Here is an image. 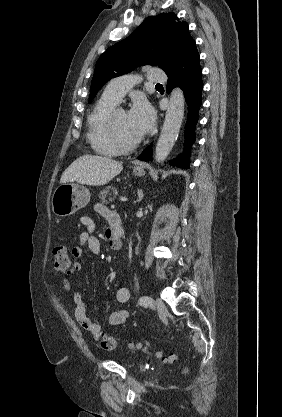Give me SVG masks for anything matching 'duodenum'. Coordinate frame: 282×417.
Instances as JSON below:
<instances>
[{"label": "duodenum", "mask_w": 282, "mask_h": 417, "mask_svg": "<svg viewBox=\"0 0 282 417\" xmlns=\"http://www.w3.org/2000/svg\"><path fill=\"white\" fill-rule=\"evenodd\" d=\"M122 235H123V228L122 227H119L118 229H117V234H116V240H120L119 242H113L112 243V247L114 248V249H120L121 248V238H122Z\"/></svg>", "instance_id": "obj_1"}]
</instances>
